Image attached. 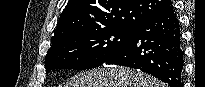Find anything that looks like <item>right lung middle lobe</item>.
Returning <instances> with one entry per match:
<instances>
[{
    "label": "right lung middle lobe",
    "mask_w": 205,
    "mask_h": 87,
    "mask_svg": "<svg viewBox=\"0 0 205 87\" xmlns=\"http://www.w3.org/2000/svg\"><path fill=\"white\" fill-rule=\"evenodd\" d=\"M133 29L106 28L83 32L52 43L46 73L54 69L86 70L102 65L122 48Z\"/></svg>",
    "instance_id": "1"
}]
</instances>
